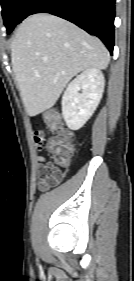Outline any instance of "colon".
<instances>
[{
    "label": "colon",
    "instance_id": "colon-1",
    "mask_svg": "<svg viewBox=\"0 0 134 281\" xmlns=\"http://www.w3.org/2000/svg\"><path fill=\"white\" fill-rule=\"evenodd\" d=\"M45 120L55 135L50 138L47 149L53 160L62 168H67L70 163L73 146L71 143V134L63 128L61 117L53 110L45 114Z\"/></svg>",
    "mask_w": 134,
    "mask_h": 281
}]
</instances>
